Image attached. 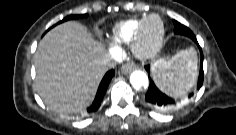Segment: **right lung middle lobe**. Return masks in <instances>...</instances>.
Returning a JSON list of instances; mask_svg holds the SVG:
<instances>
[{
	"instance_id": "obj_1",
	"label": "right lung middle lobe",
	"mask_w": 236,
	"mask_h": 135,
	"mask_svg": "<svg viewBox=\"0 0 236 135\" xmlns=\"http://www.w3.org/2000/svg\"><path fill=\"white\" fill-rule=\"evenodd\" d=\"M86 16H87L86 14H83V15H70V16L65 17V18L62 20V22H63V21L70 20V19L84 18V17H86Z\"/></svg>"
}]
</instances>
